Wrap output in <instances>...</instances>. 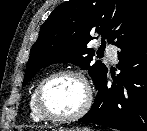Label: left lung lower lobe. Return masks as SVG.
<instances>
[{
    "label": "left lung lower lobe",
    "instance_id": "0a47b994",
    "mask_svg": "<svg viewBox=\"0 0 147 131\" xmlns=\"http://www.w3.org/2000/svg\"><path fill=\"white\" fill-rule=\"evenodd\" d=\"M120 49L118 78L109 89L104 79L92 108L79 121L120 131H147V29Z\"/></svg>",
    "mask_w": 147,
    "mask_h": 131
}]
</instances>
